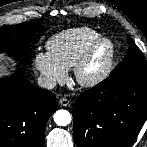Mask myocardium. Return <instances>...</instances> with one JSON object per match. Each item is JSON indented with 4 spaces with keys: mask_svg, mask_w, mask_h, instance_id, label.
<instances>
[{
    "mask_svg": "<svg viewBox=\"0 0 147 147\" xmlns=\"http://www.w3.org/2000/svg\"><path fill=\"white\" fill-rule=\"evenodd\" d=\"M107 45V53L102 67L92 75H86L85 69L89 64L96 49L102 45ZM116 48L113 40L106 36L99 35L85 49L74 66V76L76 82L82 87H93L101 83L110 74L114 60Z\"/></svg>",
    "mask_w": 147,
    "mask_h": 147,
    "instance_id": "myocardium-1",
    "label": "myocardium"
}]
</instances>
